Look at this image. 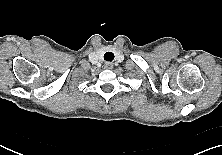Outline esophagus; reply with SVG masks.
Here are the masks:
<instances>
[{
  "label": "esophagus",
  "instance_id": "obj_1",
  "mask_svg": "<svg viewBox=\"0 0 222 155\" xmlns=\"http://www.w3.org/2000/svg\"><path fill=\"white\" fill-rule=\"evenodd\" d=\"M104 67H105L106 69H112V68H113V63H111V62H106V63L104 64Z\"/></svg>",
  "mask_w": 222,
  "mask_h": 155
}]
</instances>
